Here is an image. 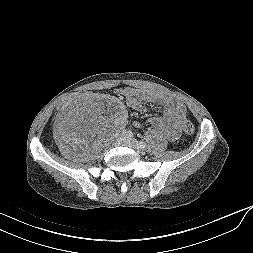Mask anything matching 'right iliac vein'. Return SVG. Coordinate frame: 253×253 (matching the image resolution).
<instances>
[{"mask_svg": "<svg viewBox=\"0 0 253 253\" xmlns=\"http://www.w3.org/2000/svg\"><path fill=\"white\" fill-rule=\"evenodd\" d=\"M125 138H126L125 134L120 135L117 139V143L122 144L124 142Z\"/></svg>", "mask_w": 253, "mask_h": 253, "instance_id": "obj_1", "label": "right iliac vein"}]
</instances>
